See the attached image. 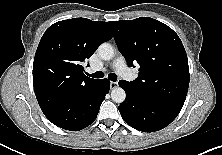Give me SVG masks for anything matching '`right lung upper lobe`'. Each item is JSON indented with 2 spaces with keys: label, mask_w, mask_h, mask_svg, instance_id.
Segmentation results:
<instances>
[{
  "label": "right lung upper lobe",
  "mask_w": 222,
  "mask_h": 155,
  "mask_svg": "<svg viewBox=\"0 0 222 155\" xmlns=\"http://www.w3.org/2000/svg\"><path fill=\"white\" fill-rule=\"evenodd\" d=\"M112 37L110 22L73 18L51 25L34 58L35 94L48 89L57 96L71 94L97 82L84 74L81 64Z\"/></svg>",
  "instance_id": "obj_1"
}]
</instances>
